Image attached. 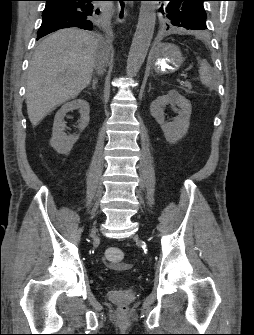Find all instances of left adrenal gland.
Instances as JSON below:
<instances>
[{
  "label": "left adrenal gland",
  "instance_id": "obj_1",
  "mask_svg": "<svg viewBox=\"0 0 254 335\" xmlns=\"http://www.w3.org/2000/svg\"><path fill=\"white\" fill-rule=\"evenodd\" d=\"M152 88H151V83H149V90L148 91H150Z\"/></svg>",
  "mask_w": 254,
  "mask_h": 335
}]
</instances>
